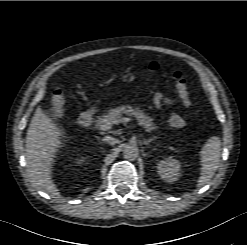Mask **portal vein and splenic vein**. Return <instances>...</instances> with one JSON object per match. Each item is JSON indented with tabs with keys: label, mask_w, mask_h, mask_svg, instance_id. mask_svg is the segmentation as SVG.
I'll list each match as a JSON object with an SVG mask.
<instances>
[{
	"label": "portal vein and splenic vein",
	"mask_w": 247,
	"mask_h": 245,
	"mask_svg": "<svg viewBox=\"0 0 247 245\" xmlns=\"http://www.w3.org/2000/svg\"><path fill=\"white\" fill-rule=\"evenodd\" d=\"M132 121H133V119L128 118V117H124L121 119V122H125V123L132 122ZM112 125H113V123H111L110 121L107 120V121H105V123L103 125H101L100 128H101V130L106 131V130L110 129L112 127Z\"/></svg>",
	"instance_id": "obj_1"
}]
</instances>
